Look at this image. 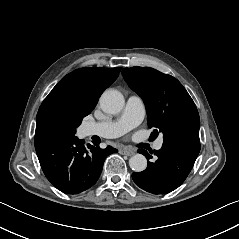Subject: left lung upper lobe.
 <instances>
[{"label": "left lung upper lobe", "mask_w": 239, "mask_h": 239, "mask_svg": "<svg viewBox=\"0 0 239 239\" xmlns=\"http://www.w3.org/2000/svg\"><path fill=\"white\" fill-rule=\"evenodd\" d=\"M122 74L145 103L148 125L154 129L152 138L158 132L164 140L184 134L199 136L197 108L177 79L148 67L125 68Z\"/></svg>", "instance_id": "5c2ea615"}]
</instances>
